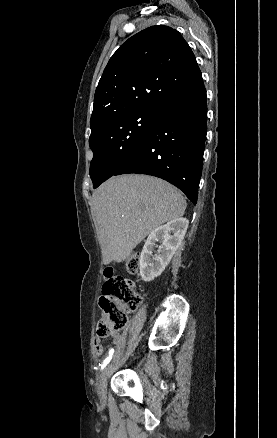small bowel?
<instances>
[{
	"instance_id": "obj_1",
	"label": "small bowel",
	"mask_w": 277,
	"mask_h": 438,
	"mask_svg": "<svg viewBox=\"0 0 277 438\" xmlns=\"http://www.w3.org/2000/svg\"><path fill=\"white\" fill-rule=\"evenodd\" d=\"M111 339H112V344L119 345L122 342V335L119 332H114L113 334H111ZM92 344H93V346L98 347V346H100L101 341H100V339L95 338V339H93ZM101 353H102V349L100 352H97V355H100Z\"/></svg>"
}]
</instances>
